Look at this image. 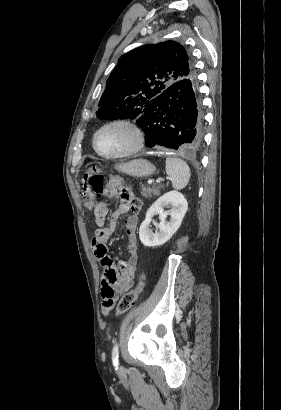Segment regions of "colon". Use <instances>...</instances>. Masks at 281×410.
Listing matches in <instances>:
<instances>
[{
    "label": "colon",
    "mask_w": 281,
    "mask_h": 410,
    "mask_svg": "<svg viewBox=\"0 0 281 410\" xmlns=\"http://www.w3.org/2000/svg\"><path fill=\"white\" fill-rule=\"evenodd\" d=\"M105 188V181L103 176L97 169H90L83 175V190L81 193L82 200L84 205L88 208H91L94 204L95 197L98 194H101ZM144 274H140L139 281L137 285L125 293L119 300L116 313L122 315L128 312L137 301L139 295L141 294L144 287ZM112 297L109 296L107 300L103 302V308L109 310L113 307Z\"/></svg>",
    "instance_id": "1"
}]
</instances>
